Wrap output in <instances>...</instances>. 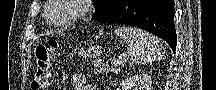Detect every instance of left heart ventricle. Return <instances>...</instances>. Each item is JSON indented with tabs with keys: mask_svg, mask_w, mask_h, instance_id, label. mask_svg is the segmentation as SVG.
<instances>
[{
	"mask_svg": "<svg viewBox=\"0 0 216 90\" xmlns=\"http://www.w3.org/2000/svg\"><path fill=\"white\" fill-rule=\"evenodd\" d=\"M69 14H70L69 9H67L66 7H61V10H57L56 13H53V17L54 19L61 21L65 19L66 17H68Z\"/></svg>",
	"mask_w": 216,
	"mask_h": 90,
	"instance_id": "obj_1",
	"label": "left heart ventricle"
}]
</instances>
